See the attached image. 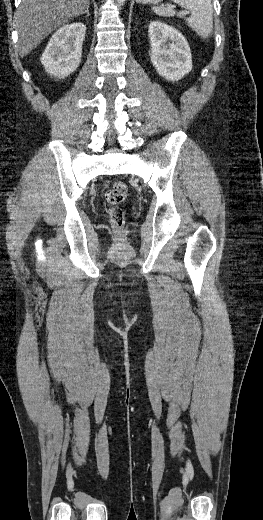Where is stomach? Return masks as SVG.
Segmentation results:
<instances>
[{"label":"stomach","mask_w":263,"mask_h":520,"mask_svg":"<svg viewBox=\"0 0 263 520\" xmlns=\"http://www.w3.org/2000/svg\"><path fill=\"white\" fill-rule=\"evenodd\" d=\"M136 1L141 4H149V3L156 4V3L161 2L162 0H136Z\"/></svg>","instance_id":"1"}]
</instances>
